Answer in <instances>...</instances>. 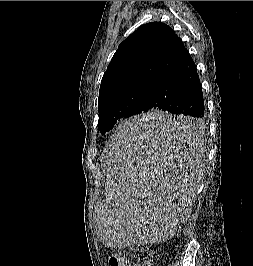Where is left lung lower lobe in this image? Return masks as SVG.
I'll list each match as a JSON object with an SVG mask.
<instances>
[{
    "mask_svg": "<svg viewBox=\"0 0 253 266\" xmlns=\"http://www.w3.org/2000/svg\"><path fill=\"white\" fill-rule=\"evenodd\" d=\"M161 109L193 118L204 117V100L196 65L175 34L160 57L145 94L142 112ZM193 118L171 123H149L150 133L170 138L197 137L201 124Z\"/></svg>",
    "mask_w": 253,
    "mask_h": 266,
    "instance_id": "1",
    "label": "left lung lower lobe"
}]
</instances>
